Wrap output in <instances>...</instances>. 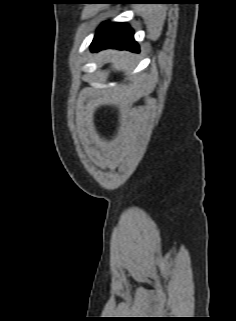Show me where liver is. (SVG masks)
<instances>
[{"mask_svg":"<svg viewBox=\"0 0 236 321\" xmlns=\"http://www.w3.org/2000/svg\"><path fill=\"white\" fill-rule=\"evenodd\" d=\"M107 61L113 64L116 70L124 69L128 63V53L117 51H104L102 53Z\"/></svg>","mask_w":236,"mask_h":321,"instance_id":"6515ba94","label":"liver"}]
</instances>
